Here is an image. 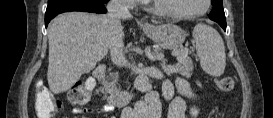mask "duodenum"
I'll list each match as a JSON object with an SVG mask.
<instances>
[{
	"label": "duodenum",
	"instance_id": "duodenum-1",
	"mask_svg": "<svg viewBox=\"0 0 273 118\" xmlns=\"http://www.w3.org/2000/svg\"><path fill=\"white\" fill-rule=\"evenodd\" d=\"M106 66L99 64L93 70V77L98 84L99 94L108 102L111 107H124L133 98V94L127 91H110L105 85Z\"/></svg>",
	"mask_w": 273,
	"mask_h": 118
}]
</instances>
